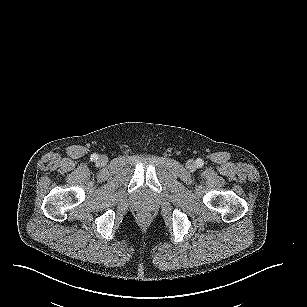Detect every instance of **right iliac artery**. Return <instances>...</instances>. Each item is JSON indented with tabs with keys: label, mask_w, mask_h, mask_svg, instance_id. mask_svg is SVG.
Returning <instances> with one entry per match:
<instances>
[{
	"label": "right iliac artery",
	"mask_w": 307,
	"mask_h": 307,
	"mask_svg": "<svg viewBox=\"0 0 307 307\" xmlns=\"http://www.w3.org/2000/svg\"><path fill=\"white\" fill-rule=\"evenodd\" d=\"M97 159H98L97 154L91 155V160H92V161H96Z\"/></svg>",
	"instance_id": "obj_1"
}]
</instances>
